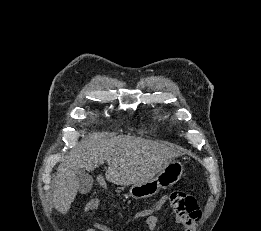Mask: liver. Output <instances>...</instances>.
Returning <instances> with one entry per match:
<instances>
[{
	"instance_id": "6515ba94",
	"label": "liver",
	"mask_w": 261,
	"mask_h": 231,
	"mask_svg": "<svg viewBox=\"0 0 261 231\" xmlns=\"http://www.w3.org/2000/svg\"><path fill=\"white\" fill-rule=\"evenodd\" d=\"M180 155L181 150L171 144L129 135L107 139L93 133L59 165L53 185L54 207L63 215L69 211L79 189V170L92 172L106 161V180L127 186L151 180Z\"/></svg>"
}]
</instances>
